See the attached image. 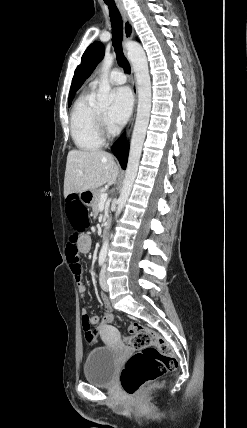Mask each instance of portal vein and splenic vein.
<instances>
[{
  "label": "portal vein and splenic vein",
  "mask_w": 247,
  "mask_h": 428,
  "mask_svg": "<svg viewBox=\"0 0 247 428\" xmlns=\"http://www.w3.org/2000/svg\"><path fill=\"white\" fill-rule=\"evenodd\" d=\"M108 194L107 193H103L100 197V204H104L107 200Z\"/></svg>",
  "instance_id": "obj_1"
}]
</instances>
